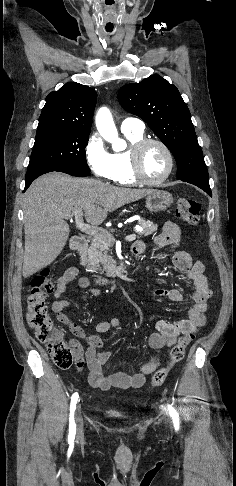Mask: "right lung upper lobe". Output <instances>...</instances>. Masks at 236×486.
<instances>
[{
    "label": "right lung upper lobe",
    "instance_id": "obj_1",
    "mask_svg": "<svg viewBox=\"0 0 236 486\" xmlns=\"http://www.w3.org/2000/svg\"><path fill=\"white\" fill-rule=\"evenodd\" d=\"M96 100L97 93L92 88L76 82L66 83L46 97L38 129L90 132Z\"/></svg>",
    "mask_w": 236,
    "mask_h": 486
}]
</instances>
